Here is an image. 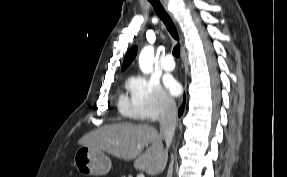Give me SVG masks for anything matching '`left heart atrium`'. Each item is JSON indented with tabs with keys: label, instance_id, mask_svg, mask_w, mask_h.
I'll return each mask as SVG.
<instances>
[{
	"label": "left heart atrium",
	"instance_id": "left-heart-atrium-1",
	"mask_svg": "<svg viewBox=\"0 0 287 177\" xmlns=\"http://www.w3.org/2000/svg\"><path fill=\"white\" fill-rule=\"evenodd\" d=\"M164 84L165 87L167 88L168 92L173 95V96H177L181 93V84L179 83V81L174 78L173 76H165L164 77Z\"/></svg>",
	"mask_w": 287,
	"mask_h": 177
}]
</instances>
